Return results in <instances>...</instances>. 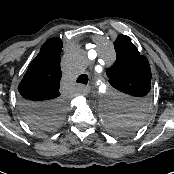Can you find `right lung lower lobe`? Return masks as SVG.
<instances>
[{"label": "right lung lower lobe", "mask_w": 174, "mask_h": 174, "mask_svg": "<svg viewBox=\"0 0 174 174\" xmlns=\"http://www.w3.org/2000/svg\"><path fill=\"white\" fill-rule=\"evenodd\" d=\"M21 108L25 116H30L34 113L44 111L48 109L53 104H47V103H32L28 101L21 100ZM55 104V103H54Z\"/></svg>", "instance_id": "98d812e1"}]
</instances>
